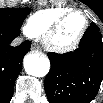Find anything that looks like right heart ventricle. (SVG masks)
<instances>
[{"label": "right heart ventricle", "instance_id": "e07e8e85", "mask_svg": "<svg viewBox=\"0 0 103 103\" xmlns=\"http://www.w3.org/2000/svg\"><path fill=\"white\" fill-rule=\"evenodd\" d=\"M69 10L67 7H51L36 11L27 19L24 31L32 38L40 37L57 17Z\"/></svg>", "mask_w": 103, "mask_h": 103}]
</instances>
